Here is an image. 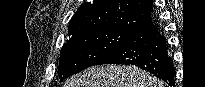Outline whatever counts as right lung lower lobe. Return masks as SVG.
Listing matches in <instances>:
<instances>
[{
    "label": "right lung lower lobe",
    "mask_w": 205,
    "mask_h": 87,
    "mask_svg": "<svg viewBox=\"0 0 205 87\" xmlns=\"http://www.w3.org/2000/svg\"><path fill=\"white\" fill-rule=\"evenodd\" d=\"M101 64L138 66L164 80L168 85L175 86V68L168 53L167 41L153 21L133 32L94 65Z\"/></svg>",
    "instance_id": "1"
}]
</instances>
